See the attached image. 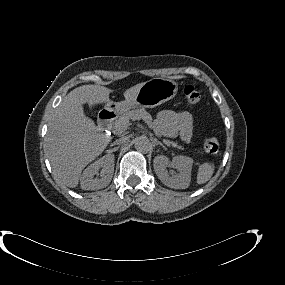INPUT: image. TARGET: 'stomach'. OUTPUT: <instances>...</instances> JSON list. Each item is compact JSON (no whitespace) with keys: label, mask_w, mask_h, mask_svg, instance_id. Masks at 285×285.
Here are the masks:
<instances>
[{"label":"stomach","mask_w":285,"mask_h":285,"mask_svg":"<svg viewBox=\"0 0 285 285\" xmlns=\"http://www.w3.org/2000/svg\"><path fill=\"white\" fill-rule=\"evenodd\" d=\"M178 91L175 81L164 78H153L142 84L134 99L123 102H109L105 110L114 113H123L131 108L146 107L153 108L174 98Z\"/></svg>","instance_id":"stomach-1"}]
</instances>
